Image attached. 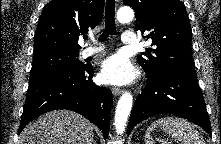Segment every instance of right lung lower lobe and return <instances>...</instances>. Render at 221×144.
Listing matches in <instances>:
<instances>
[{
	"label": "right lung lower lobe",
	"mask_w": 221,
	"mask_h": 144,
	"mask_svg": "<svg viewBox=\"0 0 221 144\" xmlns=\"http://www.w3.org/2000/svg\"><path fill=\"white\" fill-rule=\"evenodd\" d=\"M90 66L54 72L30 83L19 133L33 119L51 110L75 111L97 125L106 139L112 107L111 90L92 81Z\"/></svg>",
	"instance_id": "1"
}]
</instances>
